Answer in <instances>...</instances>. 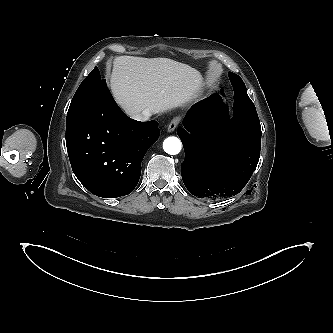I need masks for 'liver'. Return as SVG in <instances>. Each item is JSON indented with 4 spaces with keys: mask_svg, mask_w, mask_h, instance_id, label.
Instances as JSON below:
<instances>
[{
    "mask_svg": "<svg viewBox=\"0 0 333 333\" xmlns=\"http://www.w3.org/2000/svg\"><path fill=\"white\" fill-rule=\"evenodd\" d=\"M203 85L198 70L169 58L119 56L110 76L111 92L129 116L181 107L197 97Z\"/></svg>",
    "mask_w": 333,
    "mask_h": 333,
    "instance_id": "liver-1",
    "label": "liver"
}]
</instances>
